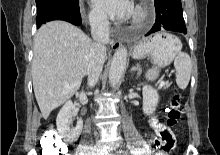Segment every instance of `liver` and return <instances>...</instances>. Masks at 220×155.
I'll list each match as a JSON object with an SVG mask.
<instances>
[{
  "label": "liver",
  "instance_id": "obj_1",
  "mask_svg": "<svg viewBox=\"0 0 220 155\" xmlns=\"http://www.w3.org/2000/svg\"><path fill=\"white\" fill-rule=\"evenodd\" d=\"M93 42L79 28L52 21L39 28L34 41L32 80L44 119L80 88Z\"/></svg>",
  "mask_w": 220,
  "mask_h": 155
}]
</instances>
